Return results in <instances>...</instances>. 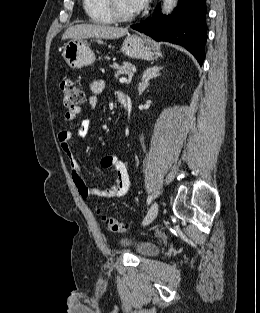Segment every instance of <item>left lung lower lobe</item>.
<instances>
[{
    "label": "left lung lower lobe",
    "instance_id": "obj_1",
    "mask_svg": "<svg viewBox=\"0 0 260 313\" xmlns=\"http://www.w3.org/2000/svg\"><path fill=\"white\" fill-rule=\"evenodd\" d=\"M206 13L205 0H179L178 8L172 15H161L158 5L151 18L131 27L156 41L184 46L202 65L207 40Z\"/></svg>",
    "mask_w": 260,
    "mask_h": 313
}]
</instances>
